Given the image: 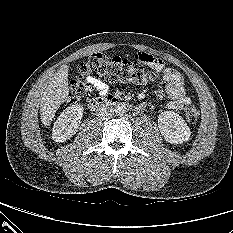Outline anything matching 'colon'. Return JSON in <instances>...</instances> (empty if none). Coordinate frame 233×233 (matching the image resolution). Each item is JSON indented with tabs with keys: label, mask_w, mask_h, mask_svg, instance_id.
Masks as SVG:
<instances>
[{
	"label": "colon",
	"mask_w": 233,
	"mask_h": 233,
	"mask_svg": "<svg viewBox=\"0 0 233 233\" xmlns=\"http://www.w3.org/2000/svg\"><path fill=\"white\" fill-rule=\"evenodd\" d=\"M104 78L113 83L142 84L153 80L156 74L145 68L140 57L128 60L119 56H108L104 53H95L81 63L78 73L70 82L68 99L76 103L87 99L92 90L91 84L84 78ZM187 122L196 123L199 110L193 104H188L184 110Z\"/></svg>",
	"instance_id": "5ec220e1"
}]
</instances>
